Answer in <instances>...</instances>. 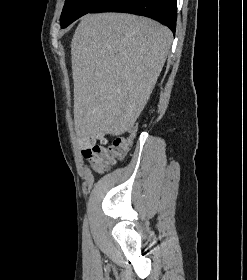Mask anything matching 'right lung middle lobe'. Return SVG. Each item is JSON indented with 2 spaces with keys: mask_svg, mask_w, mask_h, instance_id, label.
<instances>
[{
  "mask_svg": "<svg viewBox=\"0 0 247 280\" xmlns=\"http://www.w3.org/2000/svg\"><path fill=\"white\" fill-rule=\"evenodd\" d=\"M103 0H66L60 17L62 28L67 27L79 17L91 12Z\"/></svg>",
  "mask_w": 247,
  "mask_h": 280,
  "instance_id": "obj_1",
  "label": "right lung middle lobe"
}]
</instances>
